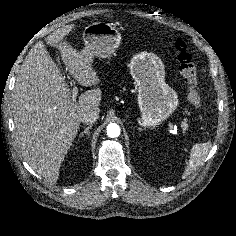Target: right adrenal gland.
<instances>
[{"label": "right adrenal gland", "mask_w": 236, "mask_h": 236, "mask_svg": "<svg viewBox=\"0 0 236 236\" xmlns=\"http://www.w3.org/2000/svg\"><path fill=\"white\" fill-rule=\"evenodd\" d=\"M92 128V124H90L88 127H86L85 129H84V131H82L80 134H79V137L81 138V137H83L84 135H89L90 134V129Z\"/></svg>", "instance_id": "obj_1"}]
</instances>
